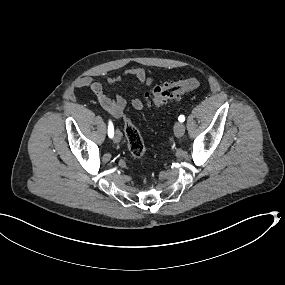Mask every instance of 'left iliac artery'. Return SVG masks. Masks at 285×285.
Listing matches in <instances>:
<instances>
[{
  "mask_svg": "<svg viewBox=\"0 0 285 285\" xmlns=\"http://www.w3.org/2000/svg\"><path fill=\"white\" fill-rule=\"evenodd\" d=\"M178 120H179L180 122H184V121H185V117H184L183 115H180V116L178 117Z\"/></svg>",
  "mask_w": 285,
  "mask_h": 285,
  "instance_id": "44dca946",
  "label": "left iliac artery"
}]
</instances>
